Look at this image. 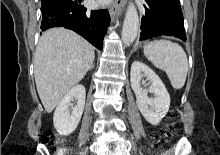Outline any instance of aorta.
<instances>
[{
	"label": "aorta",
	"instance_id": "obj_1",
	"mask_svg": "<svg viewBox=\"0 0 220 155\" xmlns=\"http://www.w3.org/2000/svg\"><path fill=\"white\" fill-rule=\"evenodd\" d=\"M139 28V16L137 9L132 1L129 2L122 28V42L129 46L137 37Z\"/></svg>",
	"mask_w": 220,
	"mask_h": 155
}]
</instances>
